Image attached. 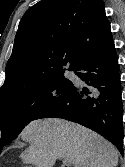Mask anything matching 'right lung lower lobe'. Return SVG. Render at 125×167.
<instances>
[{"instance_id":"obj_1","label":"right lung lower lobe","mask_w":125,"mask_h":167,"mask_svg":"<svg viewBox=\"0 0 125 167\" xmlns=\"http://www.w3.org/2000/svg\"><path fill=\"white\" fill-rule=\"evenodd\" d=\"M74 70L87 86L73 85L33 120L53 117L79 123L109 140L123 155L121 82L110 27L86 49Z\"/></svg>"}]
</instances>
